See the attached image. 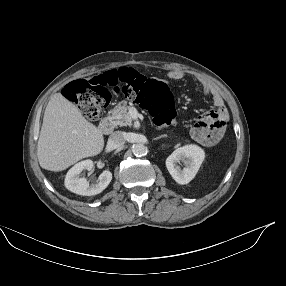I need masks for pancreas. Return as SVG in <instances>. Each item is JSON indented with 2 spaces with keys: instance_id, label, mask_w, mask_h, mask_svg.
Returning a JSON list of instances; mask_svg holds the SVG:
<instances>
[{
  "instance_id": "pancreas-1",
  "label": "pancreas",
  "mask_w": 286,
  "mask_h": 286,
  "mask_svg": "<svg viewBox=\"0 0 286 286\" xmlns=\"http://www.w3.org/2000/svg\"><path fill=\"white\" fill-rule=\"evenodd\" d=\"M130 106L125 101L119 102L112 110V118L116 125L131 126L133 118L129 113Z\"/></svg>"
}]
</instances>
